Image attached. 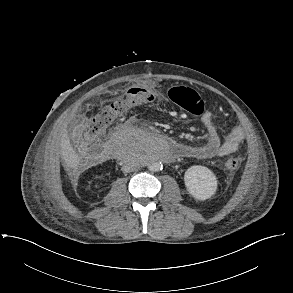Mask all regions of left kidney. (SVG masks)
Masks as SVG:
<instances>
[{
	"label": "left kidney",
	"mask_w": 293,
	"mask_h": 293,
	"mask_svg": "<svg viewBox=\"0 0 293 293\" xmlns=\"http://www.w3.org/2000/svg\"><path fill=\"white\" fill-rule=\"evenodd\" d=\"M185 186L195 199L204 201L210 199L217 190V178L205 166H191L184 175Z\"/></svg>",
	"instance_id": "5707ae66"
}]
</instances>
